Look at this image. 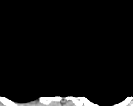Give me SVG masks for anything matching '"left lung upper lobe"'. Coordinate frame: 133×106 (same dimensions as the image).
I'll return each instance as SVG.
<instances>
[{
    "label": "left lung upper lobe",
    "mask_w": 133,
    "mask_h": 106,
    "mask_svg": "<svg viewBox=\"0 0 133 106\" xmlns=\"http://www.w3.org/2000/svg\"><path fill=\"white\" fill-rule=\"evenodd\" d=\"M86 76L78 85L80 94L99 105H115L133 94V56L95 42L84 52Z\"/></svg>",
    "instance_id": "left-lung-upper-lobe-1"
}]
</instances>
